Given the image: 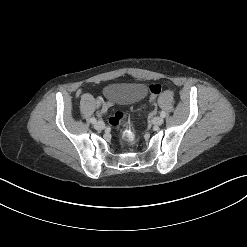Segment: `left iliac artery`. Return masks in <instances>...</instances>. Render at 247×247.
Listing matches in <instances>:
<instances>
[{"instance_id": "1", "label": "left iliac artery", "mask_w": 247, "mask_h": 247, "mask_svg": "<svg viewBox=\"0 0 247 247\" xmlns=\"http://www.w3.org/2000/svg\"><path fill=\"white\" fill-rule=\"evenodd\" d=\"M160 116L164 118L166 116V113L164 111H161Z\"/></svg>"}]
</instances>
